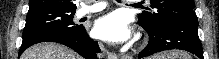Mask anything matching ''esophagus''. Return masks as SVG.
I'll use <instances>...</instances> for the list:
<instances>
[{"mask_svg":"<svg viewBox=\"0 0 219 59\" xmlns=\"http://www.w3.org/2000/svg\"><path fill=\"white\" fill-rule=\"evenodd\" d=\"M107 57H108V59H116L117 58L116 54L111 53V52H107Z\"/></svg>","mask_w":219,"mask_h":59,"instance_id":"34e87169","label":"esophagus"}]
</instances>
